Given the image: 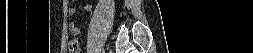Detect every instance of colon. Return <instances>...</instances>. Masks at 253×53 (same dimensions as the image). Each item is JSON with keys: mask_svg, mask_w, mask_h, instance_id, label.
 <instances>
[{"mask_svg": "<svg viewBox=\"0 0 253 53\" xmlns=\"http://www.w3.org/2000/svg\"><path fill=\"white\" fill-rule=\"evenodd\" d=\"M69 52L70 53H80V45L78 40L72 39L69 42Z\"/></svg>", "mask_w": 253, "mask_h": 53, "instance_id": "colon-1", "label": "colon"}]
</instances>
